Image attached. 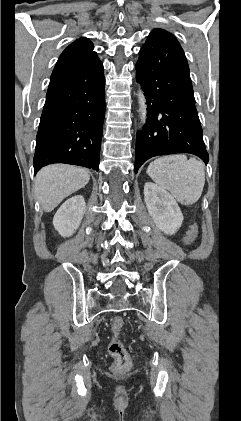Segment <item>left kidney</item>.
<instances>
[{
  "label": "left kidney",
  "instance_id": "5707ae66",
  "mask_svg": "<svg viewBox=\"0 0 241 421\" xmlns=\"http://www.w3.org/2000/svg\"><path fill=\"white\" fill-rule=\"evenodd\" d=\"M144 200L155 225L166 235H173L181 227L183 214L174 198L152 182L144 186Z\"/></svg>",
  "mask_w": 241,
  "mask_h": 421
}]
</instances>
